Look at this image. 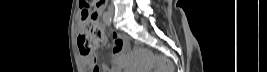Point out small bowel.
I'll return each mask as SVG.
<instances>
[{
    "mask_svg": "<svg viewBox=\"0 0 267 72\" xmlns=\"http://www.w3.org/2000/svg\"><path fill=\"white\" fill-rule=\"evenodd\" d=\"M99 10L101 9V7L99 6L98 7ZM113 42H114V47H113V53H112V56L115 58L119 53L120 51L122 50V47H123V39L120 35L118 34H113ZM82 60H83V63L86 65V66H92L93 65V62L95 60V55L92 54V55H87L85 54L84 56H82ZM93 72H99L100 70L99 69H93L92 70Z\"/></svg>",
    "mask_w": 267,
    "mask_h": 72,
    "instance_id": "1",
    "label": "small bowel"
}]
</instances>
